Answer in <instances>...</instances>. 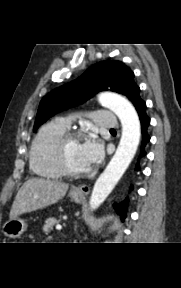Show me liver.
<instances>
[{"instance_id":"liver-1","label":"liver","mask_w":181,"mask_h":288,"mask_svg":"<svg viewBox=\"0 0 181 288\" xmlns=\"http://www.w3.org/2000/svg\"><path fill=\"white\" fill-rule=\"evenodd\" d=\"M69 185L60 181L33 177L19 189L10 211V218L57 203Z\"/></svg>"}]
</instances>
